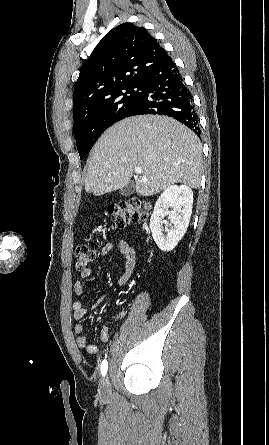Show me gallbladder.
<instances>
[{"mask_svg":"<svg viewBox=\"0 0 269 445\" xmlns=\"http://www.w3.org/2000/svg\"><path fill=\"white\" fill-rule=\"evenodd\" d=\"M134 193V184L132 182L128 183L125 187L120 190L122 196H130Z\"/></svg>","mask_w":269,"mask_h":445,"instance_id":"1","label":"gallbladder"}]
</instances>
